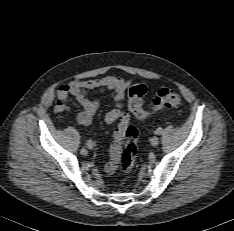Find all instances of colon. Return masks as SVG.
<instances>
[{
	"label": "colon",
	"instance_id": "1",
	"mask_svg": "<svg viewBox=\"0 0 234 231\" xmlns=\"http://www.w3.org/2000/svg\"><path fill=\"white\" fill-rule=\"evenodd\" d=\"M146 92L147 88L145 85L137 84L131 87L128 93L129 110L139 120L145 121L161 110L179 108L181 106L180 95L174 90L163 88L156 93L150 107L146 109L144 107ZM136 138V128L127 122L121 123L115 130L114 139L110 147L111 160L124 174H130L135 165L138 156Z\"/></svg>",
	"mask_w": 234,
	"mask_h": 231
}]
</instances>
